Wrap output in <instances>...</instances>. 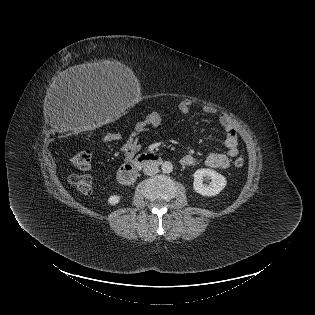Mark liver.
I'll return each instance as SVG.
<instances>
[{
	"mask_svg": "<svg viewBox=\"0 0 315 315\" xmlns=\"http://www.w3.org/2000/svg\"><path fill=\"white\" fill-rule=\"evenodd\" d=\"M61 79L69 84L133 82L136 80L133 71L119 61H97L80 64L65 70Z\"/></svg>",
	"mask_w": 315,
	"mask_h": 315,
	"instance_id": "6515ba94",
	"label": "liver"
}]
</instances>
